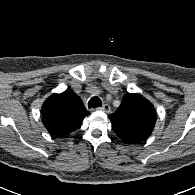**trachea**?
I'll return each mask as SVG.
<instances>
[{"mask_svg": "<svg viewBox=\"0 0 195 195\" xmlns=\"http://www.w3.org/2000/svg\"><path fill=\"white\" fill-rule=\"evenodd\" d=\"M101 106H102V102L100 98L97 96L92 97L88 102V108H97Z\"/></svg>", "mask_w": 195, "mask_h": 195, "instance_id": "trachea-1", "label": "trachea"}]
</instances>
